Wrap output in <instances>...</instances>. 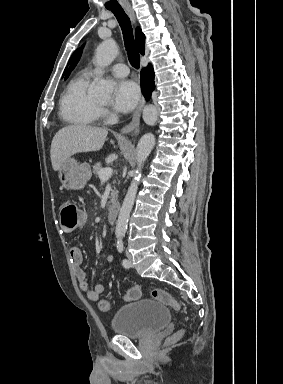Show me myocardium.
Returning a JSON list of instances; mask_svg holds the SVG:
<instances>
[{"mask_svg":"<svg viewBox=\"0 0 283 384\" xmlns=\"http://www.w3.org/2000/svg\"><path fill=\"white\" fill-rule=\"evenodd\" d=\"M97 106L99 107L100 111L104 108V104L100 102H96Z\"/></svg>","mask_w":283,"mask_h":384,"instance_id":"obj_1","label":"myocardium"}]
</instances>
